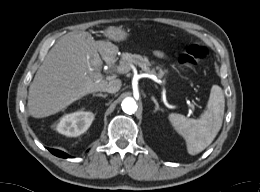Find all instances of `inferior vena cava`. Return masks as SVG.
Segmentation results:
<instances>
[{
  "mask_svg": "<svg viewBox=\"0 0 260 192\" xmlns=\"http://www.w3.org/2000/svg\"><path fill=\"white\" fill-rule=\"evenodd\" d=\"M121 80L120 79H113L107 83V85L102 88V91L108 92V93H116L121 88Z\"/></svg>",
  "mask_w": 260,
  "mask_h": 192,
  "instance_id": "602c4592",
  "label": "inferior vena cava"
}]
</instances>
